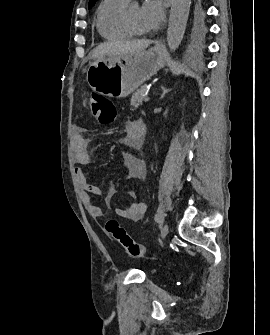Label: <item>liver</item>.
I'll list each match as a JSON object with an SVG mask.
<instances>
[{"label":"liver","instance_id":"obj_1","mask_svg":"<svg viewBox=\"0 0 270 335\" xmlns=\"http://www.w3.org/2000/svg\"><path fill=\"white\" fill-rule=\"evenodd\" d=\"M151 40H135V42H124V44H110L104 42L92 50L91 58H104V56H125V54H135L148 48Z\"/></svg>","mask_w":270,"mask_h":335}]
</instances>
